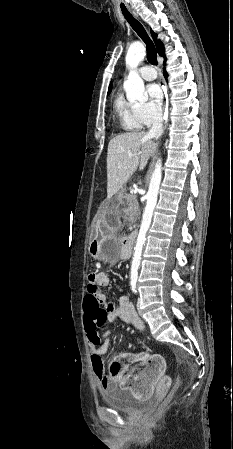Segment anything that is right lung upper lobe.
Masks as SVG:
<instances>
[{"label": "right lung upper lobe", "instance_id": "cb5924a9", "mask_svg": "<svg viewBox=\"0 0 233 449\" xmlns=\"http://www.w3.org/2000/svg\"><path fill=\"white\" fill-rule=\"evenodd\" d=\"M151 35L153 37V40L155 41L156 47H157V51L159 53L160 56H165L164 54V45L162 44L161 41H157V34L154 33L153 31H151ZM112 89V85H109V89H108V93L111 92Z\"/></svg>", "mask_w": 233, "mask_h": 449}]
</instances>
